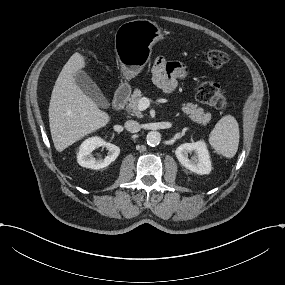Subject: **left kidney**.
Wrapping results in <instances>:
<instances>
[{
    "label": "left kidney",
    "instance_id": "left-kidney-1",
    "mask_svg": "<svg viewBox=\"0 0 285 285\" xmlns=\"http://www.w3.org/2000/svg\"><path fill=\"white\" fill-rule=\"evenodd\" d=\"M195 151L196 155L188 158V153ZM179 162L187 169L200 175L209 174L212 169L210 155L203 140L194 143H184L175 151Z\"/></svg>",
    "mask_w": 285,
    "mask_h": 285
}]
</instances>
